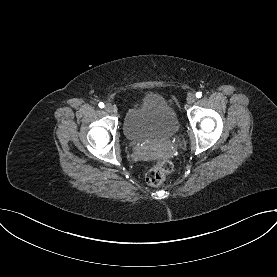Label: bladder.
I'll return each mask as SVG.
<instances>
[{
	"label": "bladder",
	"mask_w": 277,
	"mask_h": 277,
	"mask_svg": "<svg viewBox=\"0 0 277 277\" xmlns=\"http://www.w3.org/2000/svg\"><path fill=\"white\" fill-rule=\"evenodd\" d=\"M180 122L173 107L159 94H147L125 114L123 131L134 143L163 141L175 136Z\"/></svg>",
	"instance_id": "1"
}]
</instances>
